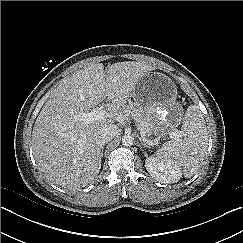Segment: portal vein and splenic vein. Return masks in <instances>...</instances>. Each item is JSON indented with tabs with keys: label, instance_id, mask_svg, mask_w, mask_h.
I'll use <instances>...</instances> for the list:
<instances>
[{
	"label": "portal vein and splenic vein",
	"instance_id": "portal-vein-and-splenic-vein-1",
	"mask_svg": "<svg viewBox=\"0 0 243 243\" xmlns=\"http://www.w3.org/2000/svg\"><path fill=\"white\" fill-rule=\"evenodd\" d=\"M107 117V112L101 110L99 107L93 108L91 112H83L79 115L81 121L86 124H89L93 121L101 120ZM175 134H173L174 136ZM145 140L150 144L151 142L145 138Z\"/></svg>",
	"mask_w": 243,
	"mask_h": 243
}]
</instances>
